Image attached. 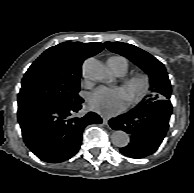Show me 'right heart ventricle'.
<instances>
[{
  "instance_id": "e07e8e85",
  "label": "right heart ventricle",
  "mask_w": 194,
  "mask_h": 193,
  "mask_svg": "<svg viewBox=\"0 0 194 193\" xmlns=\"http://www.w3.org/2000/svg\"><path fill=\"white\" fill-rule=\"evenodd\" d=\"M122 60V65H121V71H122V75L125 74L127 72L128 69V62L125 58L123 57H119Z\"/></svg>"
}]
</instances>
